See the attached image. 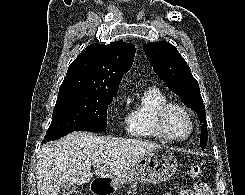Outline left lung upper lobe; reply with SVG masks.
<instances>
[{
  "instance_id": "5c2ea615",
  "label": "left lung upper lobe",
  "mask_w": 245,
  "mask_h": 195,
  "mask_svg": "<svg viewBox=\"0 0 245 195\" xmlns=\"http://www.w3.org/2000/svg\"><path fill=\"white\" fill-rule=\"evenodd\" d=\"M147 59L155 73L164 81L170 90L177 94L183 103L197 112L202 125L200 146L207 144V121L205 105L200 95L198 82L176 47L160 41L143 45Z\"/></svg>"
}]
</instances>
